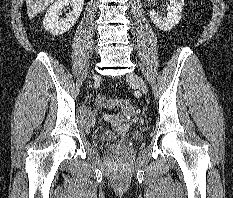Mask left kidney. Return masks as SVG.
<instances>
[{
	"label": "left kidney",
	"mask_w": 233,
	"mask_h": 198,
	"mask_svg": "<svg viewBox=\"0 0 233 198\" xmlns=\"http://www.w3.org/2000/svg\"><path fill=\"white\" fill-rule=\"evenodd\" d=\"M183 6L184 0H169L166 17L160 16L154 9L149 11V16L156 27L163 31H169L179 23Z\"/></svg>",
	"instance_id": "1"
}]
</instances>
